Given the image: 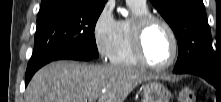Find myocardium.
<instances>
[{
	"label": "myocardium",
	"mask_w": 221,
	"mask_h": 102,
	"mask_svg": "<svg viewBox=\"0 0 221 102\" xmlns=\"http://www.w3.org/2000/svg\"><path fill=\"white\" fill-rule=\"evenodd\" d=\"M154 24H161L162 26H164L169 32L173 42L172 57L167 63L163 65H156L150 62L145 52V46H144L145 34L147 30ZM131 42H132L133 53L136 59L138 60V62L141 65L153 70H165L171 67L177 60L179 54V40L175 30L168 21H166L162 17L153 14L142 15L134 19L131 29Z\"/></svg>",
	"instance_id": "myocardium-1"
}]
</instances>
